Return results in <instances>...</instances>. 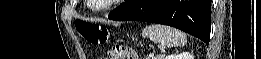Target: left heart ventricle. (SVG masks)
<instances>
[{"label": "left heart ventricle", "mask_w": 261, "mask_h": 59, "mask_svg": "<svg viewBox=\"0 0 261 59\" xmlns=\"http://www.w3.org/2000/svg\"><path fill=\"white\" fill-rule=\"evenodd\" d=\"M95 3H97L98 5L104 3L105 1L104 0H98V1H94Z\"/></svg>", "instance_id": "obj_1"}]
</instances>
